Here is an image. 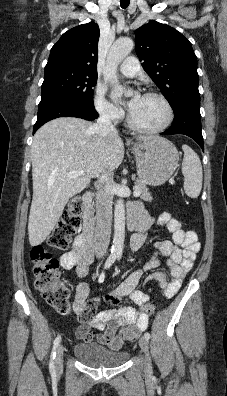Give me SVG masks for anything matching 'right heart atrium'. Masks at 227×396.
I'll return each mask as SVG.
<instances>
[{
  "label": "right heart atrium",
  "instance_id": "right-heart-atrium-1",
  "mask_svg": "<svg viewBox=\"0 0 227 396\" xmlns=\"http://www.w3.org/2000/svg\"><path fill=\"white\" fill-rule=\"evenodd\" d=\"M94 106L101 117L113 123L121 121L124 117L123 110L106 98L102 87H97L95 90Z\"/></svg>",
  "mask_w": 227,
  "mask_h": 396
}]
</instances>
